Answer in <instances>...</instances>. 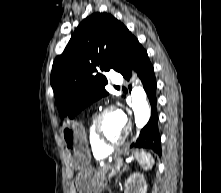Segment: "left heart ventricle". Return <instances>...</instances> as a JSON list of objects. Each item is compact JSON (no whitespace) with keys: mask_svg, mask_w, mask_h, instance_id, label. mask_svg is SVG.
Returning a JSON list of instances; mask_svg holds the SVG:
<instances>
[{"mask_svg":"<svg viewBox=\"0 0 221 193\" xmlns=\"http://www.w3.org/2000/svg\"><path fill=\"white\" fill-rule=\"evenodd\" d=\"M126 122H124L116 111L106 114L101 122V131L110 141H116L125 132Z\"/></svg>","mask_w":221,"mask_h":193,"instance_id":"b2bd125f","label":"left heart ventricle"}]
</instances>
